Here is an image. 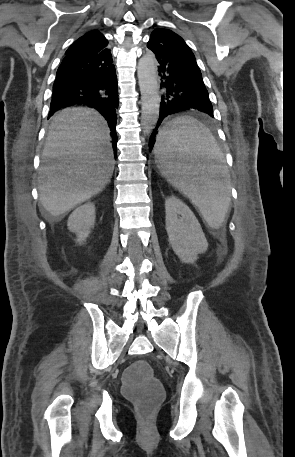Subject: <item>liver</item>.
Returning <instances> with one entry per match:
<instances>
[{"instance_id":"1","label":"liver","mask_w":295,"mask_h":457,"mask_svg":"<svg viewBox=\"0 0 295 457\" xmlns=\"http://www.w3.org/2000/svg\"><path fill=\"white\" fill-rule=\"evenodd\" d=\"M110 131L94 109L59 111L47 135L39 168V199L54 217L101 192L114 170Z\"/></svg>"}]
</instances>
